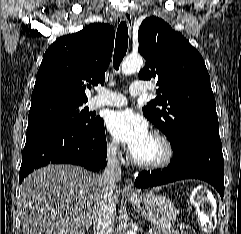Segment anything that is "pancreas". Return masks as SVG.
Returning a JSON list of instances; mask_svg holds the SVG:
<instances>
[{
	"instance_id": "1",
	"label": "pancreas",
	"mask_w": 241,
	"mask_h": 234,
	"mask_svg": "<svg viewBox=\"0 0 241 234\" xmlns=\"http://www.w3.org/2000/svg\"><path fill=\"white\" fill-rule=\"evenodd\" d=\"M153 234H185L183 231L153 228Z\"/></svg>"
}]
</instances>
